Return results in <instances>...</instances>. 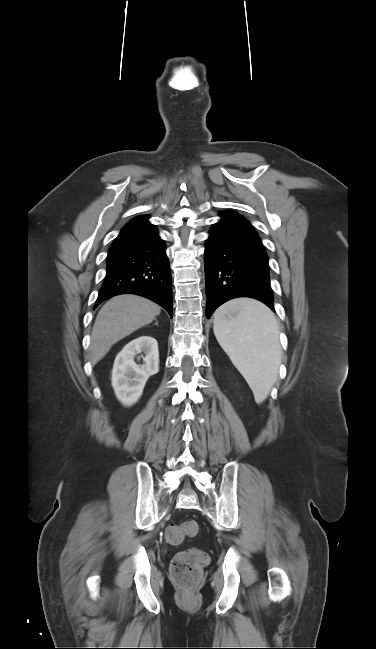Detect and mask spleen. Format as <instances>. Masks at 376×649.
Listing matches in <instances>:
<instances>
[{
    "label": "spleen",
    "instance_id": "obj_1",
    "mask_svg": "<svg viewBox=\"0 0 376 649\" xmlns=\"http://www.w3.org/2000/svg\"><path fill=\"white\" fill-rule=\"evenodd\" d=\"M213 329L260 404L276 381L281 362L279 326L273 312L256 299H233L215 311Z\"/></svg>",
    "mask_w": 376,
    "mask_h": 649
}]
</instances>
